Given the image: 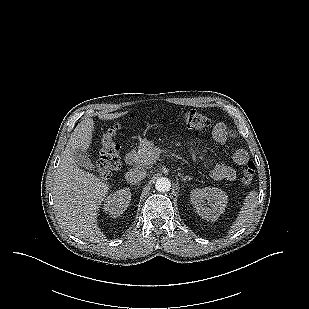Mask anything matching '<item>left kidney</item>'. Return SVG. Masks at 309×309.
Instances as JSON below:
<instances>
[{
  "label": "left kidney",
  "mask_w": 309,
  "mask_h": 309,
  "mask_svg": "<svg viewBox=\"0 0 309 309\" xmlns=\"http://www.w3.org/2000/svg\"><path fill=\"white\" fill-rule=\"evenodd\" d=\"M191 202L197 214L207 221H215L225 211L228 202L226 193L215 187L194 189L190 194ZM207 201L208 207L205 206Z\"/></svg>",
  "instance_id": "obj_1"
}]
</instances>
